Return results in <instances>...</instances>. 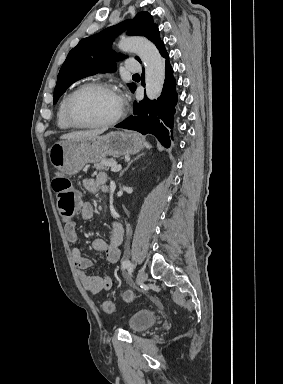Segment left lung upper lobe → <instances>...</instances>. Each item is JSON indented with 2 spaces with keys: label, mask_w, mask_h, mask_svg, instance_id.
I'll list each match as a JSON object with an SVG mask.
<instances>
[{
  "label": "left lung upper lobe",
  "mask_w": 283,
  "mask_h": 384,
  "mask_svg": "<svg viewBox=\"0 0 283 384\" xmlns=\"http://www.w3.org/2000/svg\"><path fill=\"white\" fill-rule=\"evenodd\" d=\"M128 27L130 28L128 31L129 35L144 36L151 40L157 48L163 43L160 40L158 26L154 24L153 18L148 12L138 13L133 22L124 21L82 39L69 52L59 71L57 84L54 89L53 103H56L66 89L77 80L97 73L113 72L116 70L115 61L123 59L124 56L121 54L115 55L111 49V44L118 33ZM136 59L140 61L138 57ZM129 87L132 91L136 88L133 83L129 84Z\"/></svg>",
  "instance_id": "5c2ea615"
}]
</instances>
